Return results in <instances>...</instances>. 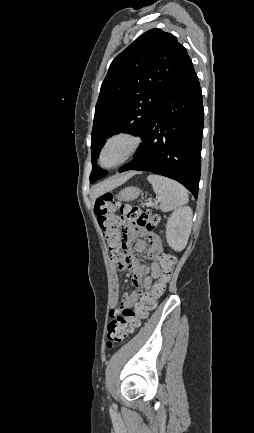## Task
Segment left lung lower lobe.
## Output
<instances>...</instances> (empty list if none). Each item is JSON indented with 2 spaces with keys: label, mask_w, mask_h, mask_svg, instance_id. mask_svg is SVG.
I'll return each mask as SVG.
<instances>
[{
  "label": "left lung lower lobe",
  "mask_w": 254,
  "mask_h": 433,
  "mask_svg": "<svg viewBox=\"0 0 254 433\" xmlns=\"http://www.w3.org/2000/svg\"><path fill=\"white\" fill-rule=\"evenodd\" d=\"M203 120L202 92L187 55L149 120L134 159L119 172L138 170L166 176L197 198Z\"/></svg>",
  "instance_id": "left-lung-lower-lobe-1"
}]
</instances>
